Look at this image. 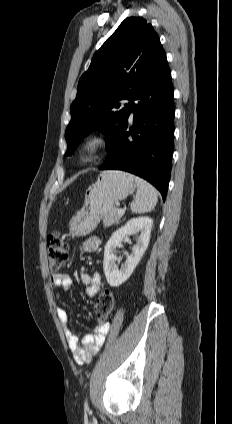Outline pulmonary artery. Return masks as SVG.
Masks as SVG:
<instances>
[{"mask_svg":"<svg viewBox=\"0 0 232 424\" xmlns=\"http://www.w3.org/2000/svg\"><path fill=\"white\" fill-rule=\"evenodd\" d=\"M129 102V100H125V103H128Z\"/></svg>","mask_w":232,"mask_h":424,"instance_id":"obj_1","label":"pulmonary artery"}]
</instances>
